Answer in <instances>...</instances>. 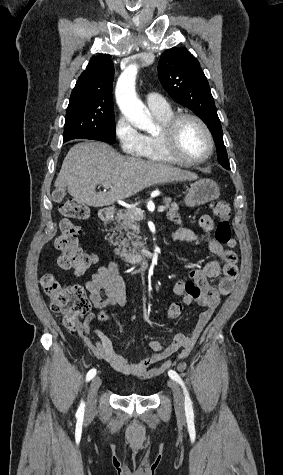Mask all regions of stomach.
<instances>
[{"instance_id":"stomach-1","label":"stomach","mask_w":283,"mask_h":475,"mask_svg":"<svg viewBox=\"0 0 283 475\" xmlns=\"http://www.w3.org/2000/svg\"><path fill=\"white\" fill-rule=\"evenodd\" d=\"M219 196L220 190L213 180H198V182L191 184L184 200L186 206L195 208V206H201V204L217 200Z\"/></svg>"}]
</instances>
